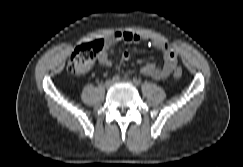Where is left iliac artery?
<instances>
[{"label":"left iliac artery","mask_w":243,"mask_h":167,"mask_svg":"<svg viewBox=\"0 0 243 167\" xmlns=\"http://www.w3.org/2000/svg\"><path fill=\"white\" fill-rule=\"evenodd\" d=\"M133 82L135 83V85H140L141 81L137 78L133 79Z\"/></svg>","instance_id":"left-iliac-artery-1"}]
</instances>
